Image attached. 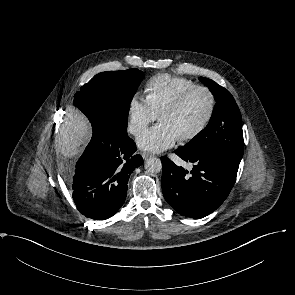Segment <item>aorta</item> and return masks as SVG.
<instances>
[{"label":"aorta","mask_w":295,"mask_h":295,"mask_svg":"<svg viewBox=\"0 0 295 295\" xmlns=\"http://www.w3.org/2000/svg\"><path fill=\"white\" fill-rule=\"evenodd\" d=\"M145 169L150 174L159 173L162 169L161 160L156 157L148 158L145 162Z\"/></svg>","instance_id":"762f6f07"}]
</instances>
